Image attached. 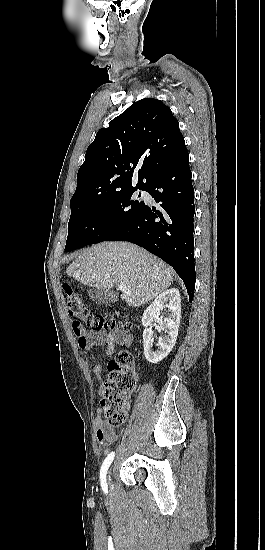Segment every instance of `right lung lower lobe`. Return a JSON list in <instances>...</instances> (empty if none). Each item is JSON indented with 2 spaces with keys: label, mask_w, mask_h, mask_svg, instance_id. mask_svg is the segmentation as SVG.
<instances>
[{
  "label": "right lung lower lobe",
  "mask_w": 265,
  "mask_h": 550,
  "mask_svg": "<svg viewBox=\"0 0 265 550\" xmlns=\"http://www.w3.org/2000/svg\"><path fill=\"white\" fill-rule=\"evenodd\" d=\"M146 191L161 202L145 206L128 224L105 241H129L163 259L184 281L192 302L196 281L194 264V188L187 148L151 181Z\"/></svg>",
  "instance_id": "1"
}]
</instances>
